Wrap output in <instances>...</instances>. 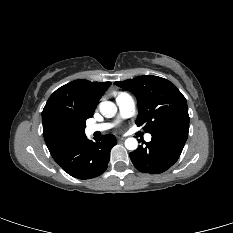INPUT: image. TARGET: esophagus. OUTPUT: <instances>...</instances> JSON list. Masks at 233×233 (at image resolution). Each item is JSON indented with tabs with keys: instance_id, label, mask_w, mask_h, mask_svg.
<instances>
[{
	"instance_id": "esophagus-1",
	"label": "esophagus",
	"mask_w": 233,
	"mask_h": 233,
	"mask_svg": "<svg viewBox=\"0 0 233 233\" xmlns=\"http://www.w3.org/2000/svg\"><path fill=\"white\" fill-rule=\"evenodd\" d=\"M118 141H123L124 140V138L123 137H118V139H117Z\"/></svg>"
}]
</instances>
